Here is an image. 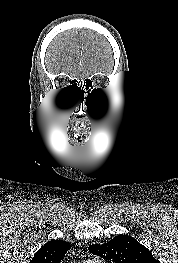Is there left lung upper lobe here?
<instances>
[{
	"mask_svg": "<svg viewBox=\"0 0 178 263\" xmlns=\"http://www.w3.org/2000/svg\"><path fill=\"white\" fill-rule=\"evenodd\" d=\"M88 250L115 263H160L145 246L128 235H118L107 243L91 245Z\"/></svg>",
	"mask_w": 178,
	"mask_h": 263,
	"instance_id": "5c2ea615",
	"label": "left lung upper lobe"
}]
</instances>
